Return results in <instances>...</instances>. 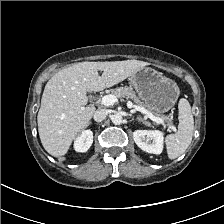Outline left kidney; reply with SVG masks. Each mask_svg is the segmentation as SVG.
<instances>
[{
	"mask_svg": "<svg viewBox=\"0 0 224 224\" xmlns=\"http://www.w3.org/2000/svg\"><path fill=\"white\" fill-rule=\"evenodd\" d=\"M133 139L147 153L161 154L163 151L164 134L159 130H136Z\"/></svg>",
	"mask_w": 224,
	"mask_h": 224,
	"instance_id": "left-kidney-1",
	"label": "left kidney"
}]
</instances>
